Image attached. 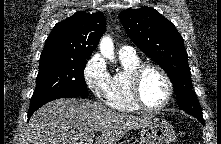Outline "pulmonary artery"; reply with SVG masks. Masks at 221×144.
I'll use <instances>...</instances> for the list:
<instances>
[{
  "mask_svg": "<svg viewBox=\"0 0 221 144\" xmlns=\"http://www.w3.org/2000/svg\"><path fill=\"white\" fill-rule=\"evenodd\" d=\"M119 55L125 56V57H131V58L137 57L134 48H132L131 46H128V45H124V46L120 47Z\"/></svg>",
  "mask_w": 221,
  "mask_h": 144,
  "instance_id": "1",
  "label": "pulmonary artery"
}]
</instances>
